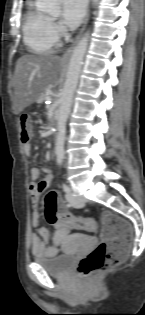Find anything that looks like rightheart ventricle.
<instances>
[{"label":"right heart ventricle","instance_id":"obj_1","mask_svg":"<svg viewBox=\"0 0 145 315\" xmlns=\"http://www.w3.org/2000/svg\"><path fill=\"white\" fill-rule=\"evenodd\" d=\"M22 31L26 47L34 54L51 53L59 43L50 17L39 10L35 0L29 2L23 19Z\"/></svg>","mask_w":145,"mask_h":315}]
</instances>
